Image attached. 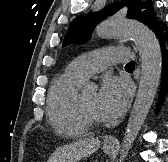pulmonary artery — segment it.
<instances>
[{
    "mask_svg": "<svg viewBox=\"0 0 168 162\" xmlns=\"http://www.w3.org/2000/svg\"><path fill=\"white\" fill-rule=\"evenodd\" d=\"M128 60L127 48L104 47L79 56L70 63L69 69L81 79L86 80L90 75L106 69L112 63Z\"/></svg>",
    "mask_w": 168,
    "mask_h": 162,
    "instance_id": "e3ab8cb5",
    "label": "pulmonary artery"
}]
</instances>
